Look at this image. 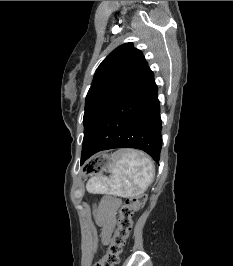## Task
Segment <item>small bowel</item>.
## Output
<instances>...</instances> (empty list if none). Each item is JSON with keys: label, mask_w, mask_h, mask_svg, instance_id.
<instances>
[{"label": "small bowel", "mask_w": 233, "mask_h": 266, "mask_svg": "<svg viewBox=\"0 0 233 266\" xmlns=\"http://www.w3.org/2000/svg\"><path fill=\"white\" fill-rule=\"evenodd\" d=\"M119 205V200L104 197L96 209V222L101 228V239L107 243L115 227V215Z\"/></svg>", "instance_id": "small-bowel-1"}]
</instances>
